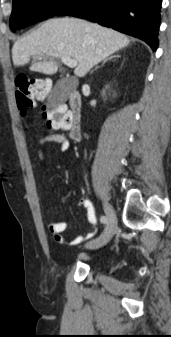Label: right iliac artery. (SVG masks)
<instances>
[{
	"mask_svg": "<svg viewBox=\"0 0 171 337\" xmlns=\"http://www.w3.org/2000/svg\"><path fill=\"white\" fill-rule=\"evenodd\" d=\"M100 221L102 223H106L107 222V217L106 216H101Z\"/></svg>",
	"mask_w": 171,
	"mask_h": 337,
	"instance_id": "82829eb1",
	"label": "right iliac artery"
}]
</instances>
